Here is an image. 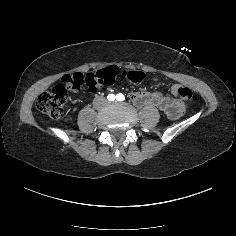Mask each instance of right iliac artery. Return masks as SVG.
<instances>
[{
  "label": "right iliac artery",
  "instance_id": "obj_1",
  "mask_svg": "<svg viewBox=\"0 0 236 236\" xmlns=\"http://www.w3.org/2000/svg\"><path fill=\"white\" fill-rule=\"evenodd\" d=\"M107 99H108L109 101H114V100H115V95H114V94H109V95L107 96Z\"/></svg>",
  "mask_w": 236,
  "mask_h": 236
}]
</instances>
